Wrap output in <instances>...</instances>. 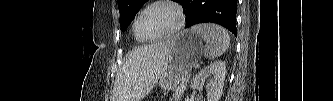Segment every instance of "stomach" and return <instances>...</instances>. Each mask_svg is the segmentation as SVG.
Returning <instances> with one entry per match:
<instances>
[{
    "label": "stomach",
    "mask_w": 333,
    "mask_h": 101,
    "mask_svg": "<svg viewBox=\"0 0 333 101\" xmlns=\"http://www.w3.org/2000/svg\"><path fill=\"white\" fill-rule=\"evenodd\" d=\"M168 42L167 65L159 78V85L164 90H172L179 85L201 59L204 49L202 36L190 29L179 32Z\"/></svg>",
    "instance_id": "0dacf381"
}]
</instances>
